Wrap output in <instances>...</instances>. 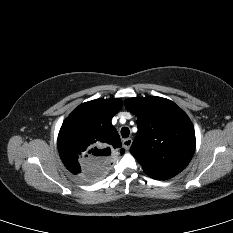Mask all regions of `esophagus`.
<instances>
[{
    "label": "esophagus",
    "instance_id": "34e87169",
    "mask_svg": "<svg viewBox=\"0 0 233 233\" xmlns=\"http://www.w3.org/2000/svg\"><path fill=\"white\" fill-rule=\"evenodd\" d=\"M132 142H133V140H132L131 138L124 139L123 142H122L123 147H124L126 150H128V149L131 147Z\"/></svg>",
    "mask_w": 233,
    "mask_h": 233
}]
</instances>
